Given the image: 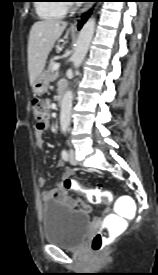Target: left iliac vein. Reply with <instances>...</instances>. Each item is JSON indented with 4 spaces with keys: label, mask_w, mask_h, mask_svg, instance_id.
Wrapping results in <instances>:
<instances>
[{
    "label": "left iliac vein",
    "mask_w": 158,
    "mask_h": 275,
    "mask_svg": "<svg viewBox=\"0 0 158 275\" xmlns=\"http://www.w3.org/2000/svg\"><path fill=\"white\" fill-rule=\"evenodd\" d=\"M69 162L73 165H77L78 163L75 157V151L73 149L69 151Z\"/></svg>",
    "instance_id": "4c4485c4"
}]
</instances>
